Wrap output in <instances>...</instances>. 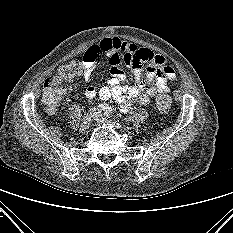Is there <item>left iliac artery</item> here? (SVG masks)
<instances>
[{
	"mask_svg": "<svg viewBox=\"0 0 233 233\" xmlns=\"http://www.w3.org/2000/svg\"><path fill=\"white\" fill-rule=\"evenodd\" d=\"M112 115V108H110L109 110H107L105 113H104V116L105 117H110Z\"/></svg>",
	"mask_w": 233,
	"mask_h": 233,
	"instance_id": "obj_1",
	"label": "left iliac artery"
}]
</instances>
